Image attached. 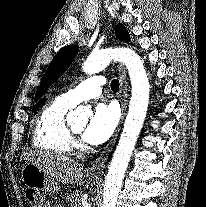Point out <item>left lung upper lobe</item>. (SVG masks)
I'll use <instances>...</instances> for the list:
<instances>
[{
    "instance_id": "left-lung-upper-lobe-1",
    "label": "left lung upper lobe",
    "mask_w": 206,
    "mask_h": 207,
    "mask_svg": "<svg viewBox=\"0 0 206 207\" xmlns=\"http://www.w3.org/2000/svg\"><path fill=\"white\" fill-rule=\"evenodd\" d=\"M115 33L117 37L122 41H129L130 37L126 30V28L118 24L115 28ZM79 51V46L77 45H69L61 49L52 62L50 63L44 78L42 79V82L40 86L37 89L36 92V99L40 98L41 95L48 89V87L55 82L69 67V65L72 63L74 57Z\"/></svg>"
}]
</instances>
